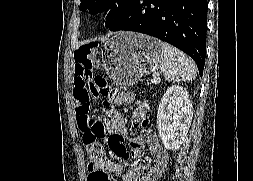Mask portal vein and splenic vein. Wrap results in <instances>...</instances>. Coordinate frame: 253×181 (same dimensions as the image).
<instances>
[{"mask_svg": "<svg viewBox=\"0 0 253 181\" xmlns=\"http://www.w3.org/2000/svg\"><path fill=\"white\" fill-rule=\"evenodd\" d=\"M153 82H154V83H158V82H160V79H159V78H155V79L153 80Z\"/></svg>", "mask_w": 253, "mask_h": 181, "instance_id": "18ae733b", "label": "portal vein and splenic vein"}]
</instances>
